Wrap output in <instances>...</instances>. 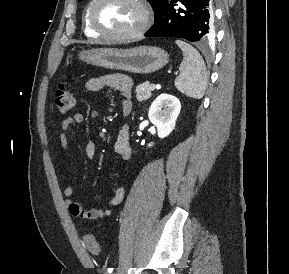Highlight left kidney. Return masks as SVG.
<instances>
[{"mask_svg":"<svg viewBox=\"0 0 289 274\" xmlns=\"http://www.w3.org/2000/svg\"><path fill=\"white\" fill-rule=\"evenodd\" d=\"M181 110L179 99L170 94L159 95L151 104L148 117L157 127L158 137H167L174 129ZM149 146H152L150 143Z\"/></svg>","mask_w":289,"mask_h":274,"instance_id":"obj_1","label":"left kidney"}]
</instances>
